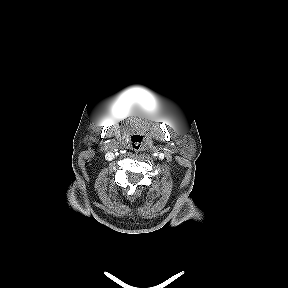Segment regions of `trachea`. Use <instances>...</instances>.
Wrapping results in <instances>:
<instances>
[{
    "label": "trachea",
    "mask_w": 288,
    "mask_h": 288,
    "mask_svg": "<svg viewBox=\"0 0 288 288\" xmlns=\"http://www.w3.org/2000/svg\"><path fill=\"white\" fill-rule=\"evenodd\" d=\"M131 143H132V147H133L135 150L140 149V147H141V140H137V139H135V137H132Z\"/></svg>",
    "instance_id": "3493384b"
}]
</instances>
